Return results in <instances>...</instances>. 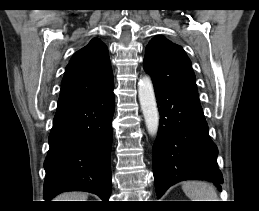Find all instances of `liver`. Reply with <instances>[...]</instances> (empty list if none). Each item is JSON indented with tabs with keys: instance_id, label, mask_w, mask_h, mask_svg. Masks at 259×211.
I'll return each mask as SVG.
<instances>
[{
	"instance_id": "6515ba94",
	"label": "liver",
	"mask_w": 259,
	"mask_h": 211,
	"mask_svg": "<svg viewBox=\"0 0 259 211\" xmlns=\"http://www.w3.org/2000/svg\"><path fill=\"white\" fill-rule=\"evenodd\" d=\"M56 201H86L87 195L80 192H70L59 195Z\"/></svg>"
}]
</instances>
